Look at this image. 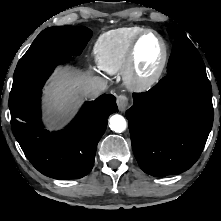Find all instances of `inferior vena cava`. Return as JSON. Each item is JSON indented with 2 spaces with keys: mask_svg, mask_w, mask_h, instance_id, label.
I'll use <instances>...</instances> for the list:
<instances>
[{
  "mask_svg": "<svg viewBox=\"0 0 221 221\" xmlns=\"http://www.w3.org/2000/svg\"><path fill=\"white\" fill-rule=\"evenodd\" d=\"M107 88V81L101 77L89 78L85 84V92L90 96H98Z\"/></svg>",
  "mask_w": 221,
  "mask_h": 221,
  "instance_id": "602c4592",
  "label": "inferior vena cava"
}]
</instances>
